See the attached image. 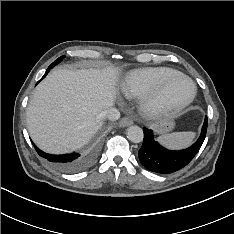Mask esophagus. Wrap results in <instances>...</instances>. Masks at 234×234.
Segmentation results:
<instances>
[{
    "label": "esophagus",
    "mask_w": 234,
    "mask_h": 234,
    "mask_svg": "<svg viewBox=\"0 0 234 234\" xmlns=\"http://www.w3.org/2000/svg\"><path fill=\"white\" fill-rule=\"evenodd\" d=\"M133 124V119H131L130 117H123L120 121H119V126L120 127H127L129 125Z\"/></svg>",
    "instance_id": "esophagus-1"
}]
</instances>
